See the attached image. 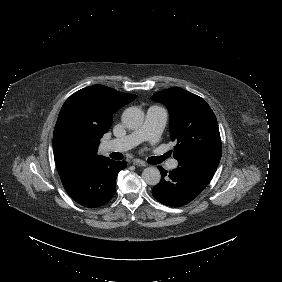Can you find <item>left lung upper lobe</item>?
Instances as JSON below:
<instances>
[{
  "mask_svg": "<svg viewBox=\"0 0 282 282\" xmlns=\"http://www.w3.org/2000/svg\"><path fill=\"white\" fill-rule=\"evenodd\" d=\"M152 99L169 110L170 136L177 141L174 158L178 162L202 156L220 160L222 146L217 119L201 97L172 87L154 93Z\"/></svg>",
  "mask_w": 282,
  "mask_h": 282,
  "instance_id": "1",
  "label": "left lung upper lobe"
}]
</instances>
